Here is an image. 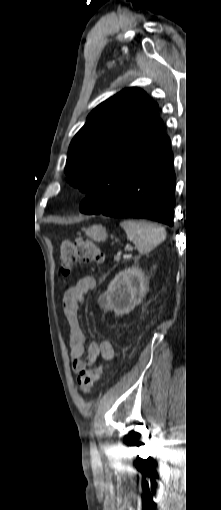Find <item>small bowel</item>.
<instances>
[{"mask_svg":"<svg viewBox=\"0 0 221 510\" xmlns=\"http://www.w3.org/2000/svg\"><path fill=\"white\" fill-rule=\"evenodd\" d=\"M95 288V277L87 274L64 293L63 313L70 326V359L77 374L81 371L92 370L99 356L105 361H111L115 357V349L108 341L91 342L87 354L84 355L85 334L80 324L79 309L85 295Z\"/></svg>","mask_w":221,"mask_h":510,"instance_id":"c3829d8e","label":"small bowel"}]
</instances>
